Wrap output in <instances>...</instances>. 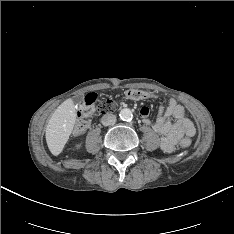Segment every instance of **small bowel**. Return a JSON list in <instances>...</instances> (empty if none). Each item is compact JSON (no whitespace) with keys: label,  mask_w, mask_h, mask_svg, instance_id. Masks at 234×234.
<instances>
[{"label":"small bowel","mask_w":234,"mask_h":234,"mask_svg":"<svg viewBox=\"0 0 234 234\" xmlns=\"http://www.w3.org/2000/svg\"><path fill=\"white\" fill-rule=\"evenodd\" d=\"M149 113L148 107L140 109L143 123L162 135L161 147L166 152H172L183 136L192 137L196 133L193 123L186 116L184 107L178 104L174 98H170L166 106L159 107L158 116L154 122L150 121Z\"/></svg>","instance_id":"1"}]
</instances>
